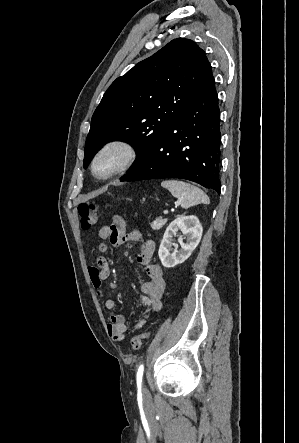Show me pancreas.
Wrapping results in <instances>:
<instances>
[{"label": "pancreas", "mask_w": 299, "mask_h": 443, "mask_svg": "<svg viewBox=\"0 0 299 443\" xmlns=\"http://www.w3.org/2000/svg\"><path fill=\"white\" fill-rule=\"evenodd\" d=\"M167 223V219L157 218L154 220L150 226L153 230L161 229Z\"/></svg>", "instance_id": "pancreas-1"}]
</instances>
